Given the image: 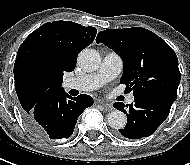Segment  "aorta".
Masks as SVG:
<instances>
[{"label":"aorta","mask_w":190,"mask_h":165,"mask_svg":"<svg viewBox=\"0 0 190 165\" xmlns=\"http://www.w3.org/2000/svg\"><path fill=\"white\" fill-rule=\"evenodd\" d=\"M79 66L87 72L96 71L101 63L99 53L94 49H84L78 55ZM107 122L113 129H123L127 123L126 115L119 111H111L107 115Z\"/></svg>","instance_id":"762f6f07"}]
</instances>
